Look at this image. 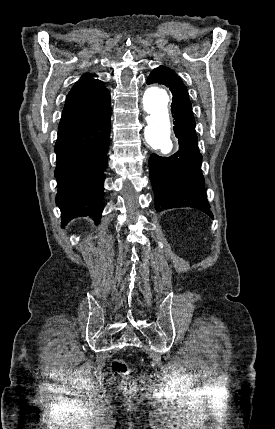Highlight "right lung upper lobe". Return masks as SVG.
<instances>
[{"label": "right lung upper lobe", "mask_w": 275, "mask_h": 429, "mask_svg": "<svg viewBox=\"0 0 275 429\" xmlns=\"http://www.w3.org/2000/svg\"><path fill=\"white\" fill-rule=\"evenodd\" d=\"M94 77L84 74L73 86L67 95L58 129L92 121L111 109L109 91Z\"/></svg>", "instance_id": "obj_1"}]
</instances>
